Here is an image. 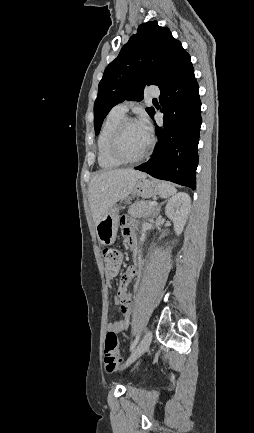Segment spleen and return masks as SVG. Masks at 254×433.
Wrapping results in <instances>:
<instances>
[{"label": "spleen", "instance_id": "1", "mask_svg": "<svg viewBox=\"0 0 254 433\" xmlns=\"http://www.w3.org/2000/svg\"><path fill=\"white\" fill-rule=\"evenodd\" d=\"M159 193L162 197H169L177 192L176 188L169 182H158Z\"/></svg>", "mask_w": 254, "mask_h": 433}]
</instances>
